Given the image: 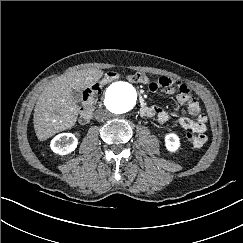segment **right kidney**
Wrapping results in <instances>:
<instances>
[{"label": "right kidney", "instance_id": "ca27d5eb", "mask_svg": "<svg viewBox=\"0 0 243 243\" xmlns=\"http://www.w3.org/2000/svg\"><path fill=\"white\" fill-rule=\"evenodd\" d=\"M77 145L78 139L72 133L58 134L50 143L51 150L59 155L71 153L76 149Z\"/></svg>", "mask_w": 243, "mask_h": 243}]
</instances>
